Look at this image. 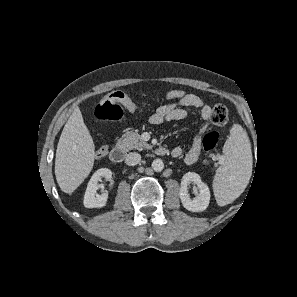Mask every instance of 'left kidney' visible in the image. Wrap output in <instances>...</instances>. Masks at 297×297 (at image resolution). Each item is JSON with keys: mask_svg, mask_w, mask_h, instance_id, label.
I'll return each instance as SVG.
<instances>
[{"mask_svg": "<svg viewBox=\"0 0 297 297\" xmlns=\"http://www.w3.org/2000/svg\"><path fill=\"white\" fill-rule=\"evenodd\" d=\"M190 183L197 185L199 189V194L192 199L188 194V185ZM179 196L184 208L192 212L205 210L210 202V190L208 186L202 182L200 176L194 172L184 174L181 181Z\"/></svg>", "mask_w": 297, "mask_h": 297, "instance_id": "5707ae66", "label": "left kidney"}]
</instances>
